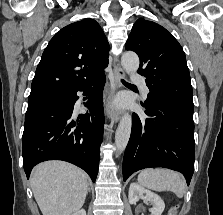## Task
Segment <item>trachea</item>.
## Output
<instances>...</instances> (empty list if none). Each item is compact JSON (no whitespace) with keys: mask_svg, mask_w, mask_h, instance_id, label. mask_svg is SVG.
Here are the masks:
<instances>
[{"mask_svg":"<svg viewBox=\"0 0 223 215\" xmlns=\"http://www.w3.org/2000/svg\"><path fill=\"white\" fill-rule=\"evenodd\" d=\"M122 81V83H128V82H126L125 80H121Z\"/></svg>","mask_w":223,"mask_h":215,"instance_id":"obj_1","label":"trachea"}]
</instances>
